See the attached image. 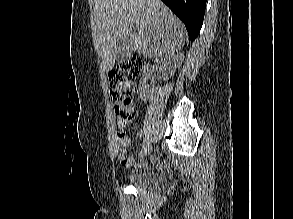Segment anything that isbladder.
<instances>
[{
	"mask_svg": "<svg viewBox=\"0 0 293 219\" xmlns=\"http://www.w3.org/2000/svg\"><path fill=\"white\" fill-rule=\"evenodd\" d=\"M126 180L129 185L143 190H159L165 183L161 174L151 170L131 173Z\"/></svg>",
	"mask_w": 293,
	"mask_h": 219,
	"instance_id": "obj_1",
	"label": "bladder"
}]
</instances>
